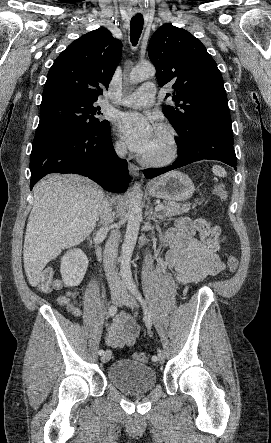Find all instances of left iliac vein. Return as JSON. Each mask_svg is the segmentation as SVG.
I'll list each match as a JSON object with an SVG mask.
<instances>
[{
	"instance_id": "4c4485c4",
	"label": "left iliac vein",
	"mask_w": 271,
	"mask_h": 443,
	"mask_svg": "<svg viewBox=\"0 0 271 443\" xmlns=\"http://www.w3.org/2000/svg\"><path fill=\"white\" fill-rule=\"evenodd\" d=\"M121 303L129 308H132V309L138 307V303H137L136 299L129 293H124ZM164 361H165V353L163 350L159 349L158 350V362L160 364H162V363H164Z\"/></svg>"
}]
</instances>
